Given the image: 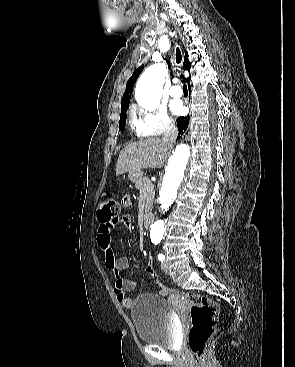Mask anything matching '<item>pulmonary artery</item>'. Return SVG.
<instances>
[{"label": "pulmonary artery", "instance_id": "pulmonary-artery-1", "mask_svg": "<svg viewBox=\"0 0 295 367\" xmlns=\"http://www.w3.org/2000/svg\"><path fill=\"white\" fill-rule=\"evenodd\" d=\"M170 95L174 98H180L183 95V91L179 85H174L170 89Z\"/></svg>", "mask_w": 295, "mask_h": 367}]
</instances>
